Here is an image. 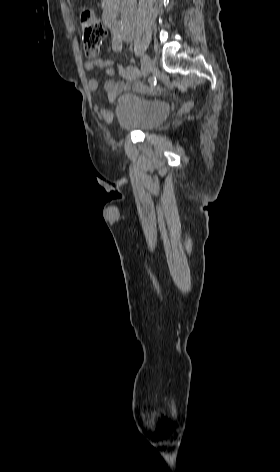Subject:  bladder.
<instances>
[{
  "instance_id": "31cf9c89",
  "label": "bladder",
  "mask_w": 280,
  "mask_h": 472,
  "mask_svg": "<svg viewBox=\"0 0 280 472\" xmlns=\"http://www.w3.org/2000/svg\"><path fill=\"white\" fill-rule=\"evenodd\" d=\"M171 106L168 101L126 92L116 104L115 120L123 130H151L161 125L168 117Z\"/></svg>"
}]
</instances>
